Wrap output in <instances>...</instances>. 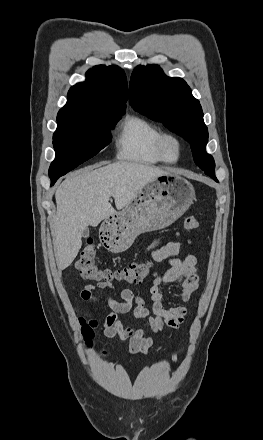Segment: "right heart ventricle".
I'll return each mask as SVG.
<instances>
[{"mask_svg":"<svg viewBox=\"0 0 263 440\" xmlns=\"http://www.w3.org/2000/svg\"><path fill=\"white\" fill-rule=\"evenodd\" d=\"M161 132L156 124L142 116H126L120 125L115 141L117 157L121 160L144 164L163 162L156 148Z\"/></svg>","mask_w":263,"mask_h":440,"instance_id":"right-heart-ventricle-1","label":"right heart ventricle"}]
</instances>
